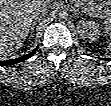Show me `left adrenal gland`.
<instances>
[{
	"label": "left adrenal gland",
	"instance_id": "1",
	"mask_svg": "<svg viewBox=\"0 0 111 106\" xmlns=\"http://www.w3.org/2000/svg\"><path fill=\"white\" fill-rule=\"evenodd\" d=\"M71 10L75 12V17L79 16L81 13H86L85 11L80 10V8H76L74 6H71Z\"/></svg>",
	"mask_w": 111,
	"mask_h": 106
}]
</instances>
